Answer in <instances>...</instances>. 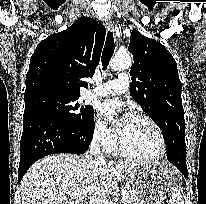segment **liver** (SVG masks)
<instances>
[{
	"label": "liver",
	"mask_w": 206,
	"mask_h": 204,
	"mask_svg": "<svg viewBox=\"0 0 206 204\" xmlns=\"http://www.w3.org/2000/svg\"><path fill=\"white\" fill-rule=\"evenodd\" d=\"M90 155L60 153L34 163L20 183L22 204H89L111 193L137 167Z\"/></svg>",
	"instance_id": "6515ba94"
}]
</instances>
